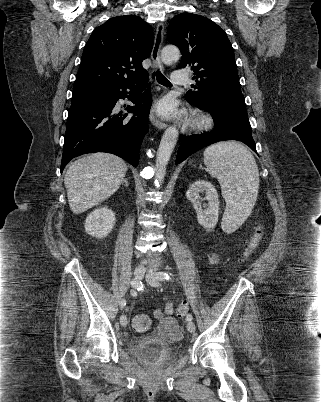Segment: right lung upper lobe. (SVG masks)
<instances>
[{"label":"right lung upper lobe","instance_id":"1","mask_svg":"<svg viewBox=\"0 0 321 402\" xmlns=\"http://www.w3.org/2000/svg\"><path fill=\"white\" fill-rule=\"evenodd\" d=\"M153 30L138 16H117L97 27L85 45L74 86L127 85L147 79Z\"/></svg>","mask_w":321,"mask_h":402}]
</instances>
